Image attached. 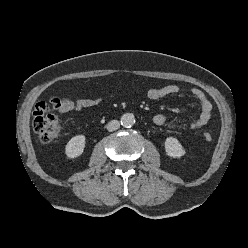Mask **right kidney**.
Wrapping results in <instances>:
<instances>
[{
    "mask_svg": "<svg viewBox=\"0 0 248 248\" xmlns=\"http://www.w3.org/2000/svg\"><path fill=\"white\" fill-rule=\"evenodd\" d=\"M85 148V136L77 135L70 139L65 148V154L68 158L80 156Z\"/></svg>",
    "mask_w": 248,
    "mask_h": 248,
    "instance_id": "ca27d5eb",
    "label": "right kidney"
}]
</instances>
